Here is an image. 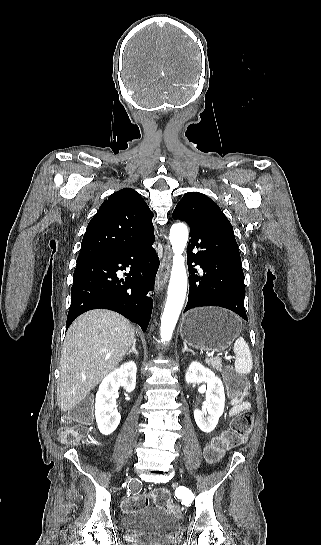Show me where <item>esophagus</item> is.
Masks as SVG:
<instances>
[{"mask_svg":"<svg viewBox=\"0 0 321 545\" xmlns=\"http://www.w3.org/2000/svg\"><path fill=\"white\" fill-rule=\"evenodd\" d=\"M170 266H171V249H170V246L166 244L164 246V254H163L162 263L160 265V268L156 277V282H155L156 290H160L165 286L169 277Z\"/></svg>","mask_w":321,"mask_h":545,"instance_id":"esophagus-1","label":"esophagus"}]
</instances>
